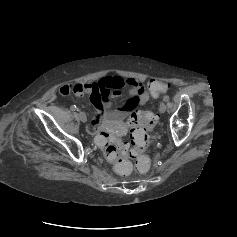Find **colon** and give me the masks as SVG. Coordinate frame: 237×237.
Instances as JSON below:
<instances>
[{
	"instance_id": "colon-1",
	"label": "colon",
	"mask_w": 237,
	"mask_h": 237,
	"mask_svg": "<svg viewBox=\"0 0 237 237\" xmlns=\"http://www.w3.org/2000/svg\"><path fill=\"white\" fill-rule=\"evenodd\" d=\"M170 85L163 81L151 80L148 89L157 97L167 92ZM130 146L119 137L107 131H101L96 137L97 145L102 149L105 159L111 163L116 172L122 176L129 175L132 170L130 159L135 162L138 172H146L150 166V157L146 153L149 146L148 130L157 124V114L150 110L134 111L129 119Z\"/></svg>"
}]
</instances>
